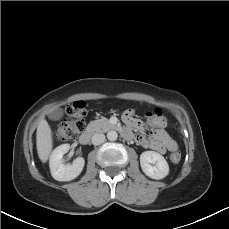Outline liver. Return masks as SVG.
<instances>
[{
  "instance_id": "6515ba94",
  "label": "liver",
  "mask_w": 229,
  "mask_h": 229,
  "mask_svg": "<svg viewBox=\"0 0 229 229\" xmlns=\"http://www.w3.org/2000/svg\"><path fill=\"white\" fill-rule=\"evenodd\" d=\"M36 146L39 159L45 163L53 148L52 131L48 122L42 118L37 126Z\"/></svg>"
}]
</instances>
